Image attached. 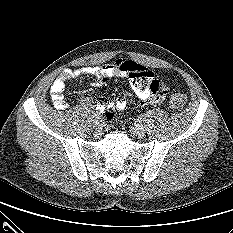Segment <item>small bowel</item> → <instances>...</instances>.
Returning a JSON list of instances; mask_svg holds the SVG:
<instances>
[{
  "label": "small bowel",
  "mask_w": 233,
  "mask_h": 233,
  "mask_svg": "<svg viewBox=\"0 0 233 233\" xmlns=\"http://www.w3.org/2000/svg\"><path fill=\"white\" fill-rule=\"evenodd\" d=\"M135 66L143 67L129 59H118L103 66L65 69L54 80L50 87L52 101L58 109H65L67 103L64 98V90L67 81L78 79L82 76H94L101 83L107 82L110 78L129 79L134 98L128 100L119 99L115 104V107L119 110L128 106H141L144 103L156 104L163 101L167 91L162 79L157 74L150 71L152 74L150 79L146 81L135 80L131 78L130 75L132 68ZM82 101L86 105H95L98 111H104L109 107V104L104 99L94 101L89 95L84 96Z\"/></svg>",
  "instance_id": "obj_1"
}]
</instances>
